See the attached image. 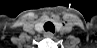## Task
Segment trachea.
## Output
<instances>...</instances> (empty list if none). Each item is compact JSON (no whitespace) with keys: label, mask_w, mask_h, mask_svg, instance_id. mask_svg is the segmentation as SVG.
<instances>
[{"label":"trachea","mask_w":97,"mask_h":48,"mask_svg":"<svg viewBox=\"0 0 97 48\" xmlns=\"http://www.w3.org/2000/svg\"><path fill=\"white\" fill-rule=\"evenodd\" d=\"M44 30L54 33L55 32V26L52 22L48 21L44 24Z\"/></svg>","instance_id":"obj_1"}]
</instances>
